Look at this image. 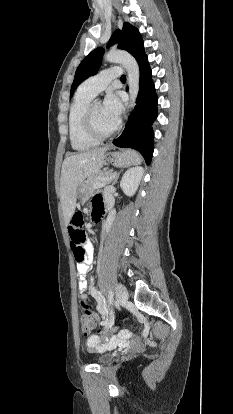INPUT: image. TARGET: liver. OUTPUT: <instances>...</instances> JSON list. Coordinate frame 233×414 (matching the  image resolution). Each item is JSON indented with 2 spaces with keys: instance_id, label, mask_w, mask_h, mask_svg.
I'll return each mask as SVG.
<instances>
[{
  "instance_id": "6515ba94",
  "label": "liver",
  "mask_w": 233,
  "mask_h": 414,
  "mask_svg": "<svg viewBox=\"0 0 233 414\" xmlns=\"http://www.w3.org/2000/svg\"><path fill=\"white\" fill-rule=\"evenodd\" d=\"M108 149L109 147L95 148L64 159L60 179V199L66 224L75 211L77 188L85 178L101 169Z\"/></svg>"
}]
</instances>
